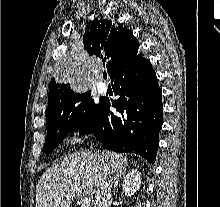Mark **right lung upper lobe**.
<instances>
[{
    "label": "right lung upper lobe",
    "mask_w": 220,
    "mask_h": 207,
    "mask_svg": "<svg viewBox=\"0 0 220 207\" xmlns=\"http://www.w3.org/2000/svg\"><path fill=\"white\" fill-rule=\"evenodd\" d=\"M84 49L92 58L106 63L112 79L116 71L137 54L138 40L122 24L107 19H94L86 25L83 36ZM76 94L69 83H60L52 78L49 84L46 115L54 111L68 97Z\"/></svg>",
    "instance_id": "obj_1"
}]
</instances>
